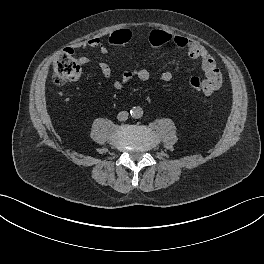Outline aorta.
<instances>
[{"mask_svg": "<svg viewBox=\"0 0 264 264\" xmlns=\"http://www.w3.org/2000/svg\"><path fill=\"white\" fill-rule=\"evenodd\" d=\"M131 116L135 119H139L143 116V109L139 106L133 107L130 111Z\"/></svg>", "mask_w": 264, "mask_h": 264, "instance_id": "obj_1", "label": "aorta"}]
</instances>
